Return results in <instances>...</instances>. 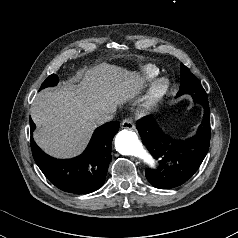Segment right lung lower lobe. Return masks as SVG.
<instances>
[{
  "instance_id": "obj_1",
  "label": "right lung lower lobe",
  "mask_w": 238,
  "mask_h": 238,
  "mask_svg": "<svg viewBox=\"0 0 238 238\" xmlns=\"http://www.w3.org/2000/svg\"><path fill=\"white\" fill-rule=\"evenodd\" d=\"M30 120V131L35 129ZM119 130V122L112 121L98 127L85 151L72 159H56L43 152L31 137L34 160L45 177L62 191L74 194L91 193L105 181L111 160V143Z\"/></svg>"
}]
</instances>
